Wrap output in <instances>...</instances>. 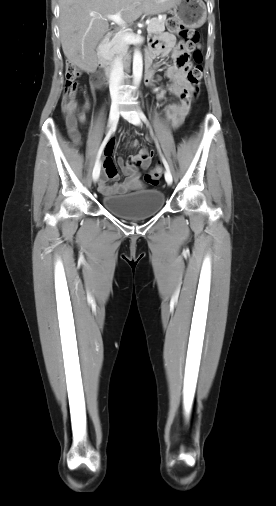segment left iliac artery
Returning <instances> with one entry per match:
<instances>
[{"label": "left iliac artery", "instance_id": "1", "mask_svg": "<svg viewBox=\"0 0 276 506\" xmlns=\"http://www.w3.org/2000/svg\"><path fill=\"white\" fill-rule=\"evenodd\" d=\"M139 115H140V118L142 119V121H143V122H144L147 126H149V127H150V124H149V122H148L147 117L145 116V114H144V113H143L140 109H139ZM151 133H152V135H153L152 130H151ZM154 139H155V142H156V146H157V148H158V150H159V153H160V155H161V158H162L163 164H164V166H165L166 170L170 172L169 165H168V163H167L166 159L164 158V156H163V155H162V153H161V150H160V147H159V145H158V142H157V140H156V138H155V137H154Z\"/></svg>", "mask_w": 276, "mask_h": 506}]
</instances>
